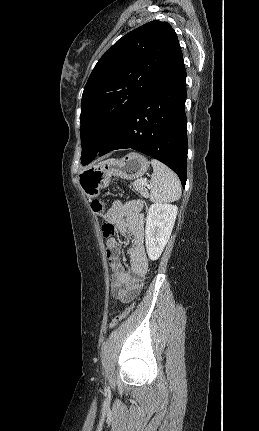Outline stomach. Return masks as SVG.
Instances as JSON below:
<instances>
[{
    "mask_svg": "<svg viewBox=\"0 0 259 431\" xmlns=\"http://www.w3.org/2000/svg\"><path fill=\"white\" fill-rule=\"evenodd\" d=\"M149 168L148 160L141 154L131 152L121 159H109L78 174V184L83 193L94 198L108 186L111 177L134 180L142 177Z\"/></svg>",
    "mask_w": 259,
    "mask_h": 431,
    "instance_id": "obj_1",
    "label": "stomach"
}]
</instances>
